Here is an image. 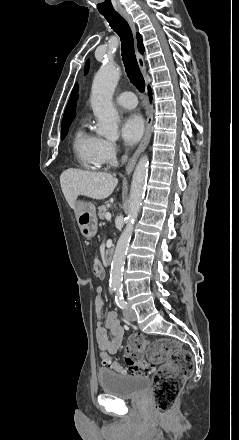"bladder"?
I'll return each instance as SVG.
<instances>
[{"instance_id":"bladder-1","label":"bladder","mask_w":239,"mask_h":440,"mask_svg":"<svg viewBox=\"0 0 239 440\" xmlns=\"http://www.w3.org/2000/svg\"><path fill=\"white\" fill-rule=\"evenodd\" d=\"M97 378L104 393L123 399L139 398L150 386V380L145 376L122 375L108 369H100Z\"/></svg>"}]
</instances>
